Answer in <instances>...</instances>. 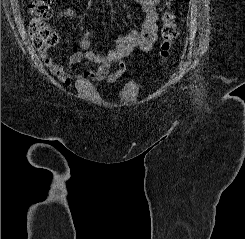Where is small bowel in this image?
<instances>
[{
	"label": "small bowel",
	"mask_w": 245,
	"mask_h": 239,
	"mask_svg": "<svg viewBox=\"0 0 245 239\" xmlns=\"http://www.w3.org/2000/svg\"><path fill=\"white\" fill-rule=\"evenodd\" d=\"M144 14V21L141 30L130 31L115 41L114 48L107 54L96 53L91 43V33L86 31L79 40L82 52L71 55L68 64L63 66L50 56H41L46 67L64 84L71 85L82 81H107L110 84L116 83L124 75L126 67L123 59L134 50L148 52L152 49L157 39L159 14L161 11L160 0H136ZM57 17L75 19L77 11L74 8H65L57 12ZM88 61L96 65L95 69H87L76 75L73 70L81 61ZM115 68L112 70V67Z\"/></svg>",
	"instance_id": "1"
}]
</instances>
